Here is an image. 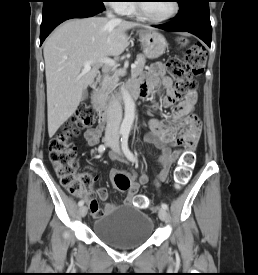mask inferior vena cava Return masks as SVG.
<instances>
[{
    "mask_svg": "<svg viewBox=\"0 0 258 275\" xmlns=\"http://www.w3.org/2000/svg\"><path fill=\"white\" fill-rule=\"evenodd\" d=\"M107 16L114 23H120L121 19L115 18L110 12ZM122 120V109L118 100L113 99L107 111V125L105 135L110 137H117L119 134V127Z\"/></svg>",
    "mask_w": 258,
    "mask_h": 275,
    "instance_id": "inferior-vena-cava-1",
    "label": "inferior vena cava"
}]
</instances>
